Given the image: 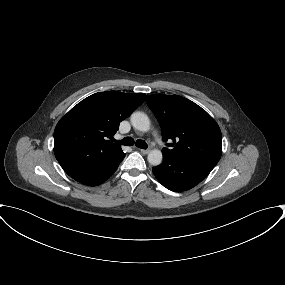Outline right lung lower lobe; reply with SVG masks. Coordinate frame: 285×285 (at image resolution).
I'll return each instance as SVG.
<instances>
[{
	"label": "right lung lower lobe",
	"mask_w": 285,
	"mask_h": 285,
	"mask_svg": "<svg viewBox=\"0 0 285 285\" xmlns=\"http://www.w3.org/2000/svg\"><path fill=\"white\" fill-rule=\"evenodd\" d=\"M125 153L97 163H84L78 159L60 162L63 170L74 180L87 186H96L105 182L118 168Z\"/></svg>",
	"instance_id": "98d812e1"
}]
</instances>
